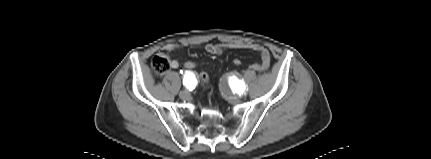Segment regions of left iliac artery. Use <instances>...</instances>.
I'll list each match as a JSON object with an SVG mask.
<instances>
[{"instance_id": "1", "label": "left iliac artery", "mask_w": 431, "mask_h": 159, "mask_svg": "<svg viewBox=\"0 0 431 159\" xmlns=\"http://www.w3.org/2000/svg\"><path fill=\"white\" fill-rule=\"evenodd\" d=\"M231 86H233L234 92H237L240 95L243 94L244 91H245V89H246L245 82L239 81L235 77H233L232 80H231Z\"/></svg>"}]
</instances>
